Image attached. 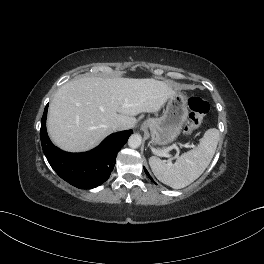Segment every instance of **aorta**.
Listing matches in <instances>:
<instances>
[{
  "label": "aorta",
  "instance_id": "obj_1",
  "mask_svg": "<svg viewBox=\"0 0 264 264\" xmlns=\"http://www.w3.org/2000/svg\"><path fill=\"white\" fill-rule=\"evenodd\" d=\"M142 137L139 134H132L129 137L128 145L131 148H138L141 145Z\"/></svg>",
  "mask_w": 264,
  "mask_h": 264
}]
</instances>
